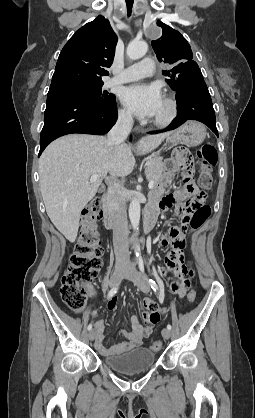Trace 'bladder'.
<instances>
[{
    "label": "bladder",
    "instance_id": "31cf9c89",
    "mask_svg": "<svg viewBox=\"0 0 255 418\" xmlns=\"http://www.w3.org/2000/svg\"><path fill=\"white\" fill-rule=\"evenodd\" d=\"M156 360V354L147 347H138L128 352L106 356L104 363L121 373H136L149 369Z\"/></svg>",
    "mask_w": 255,
    "mask_h": 418
}]
</instances>
